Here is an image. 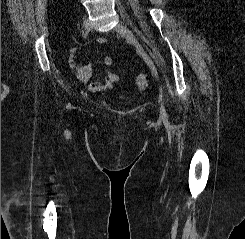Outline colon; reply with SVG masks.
Here are the masks:
<instances>
[{
  "mask_svg": "<svg viewBox=\"0 0 245 239\" xmlns=\"http://www.w3.org/2000/svg\"><path fill=\"white\" fill-rule=\"evenodd\" d=\"M150 78L147 74H139L136 78V85L139 89L144 90L148 87Z\"/></svg>",
  "mask_w": 245,
  "mask_h": 239,
  "instance_id": "1",
  "label": "colon"
}]
</instances>
